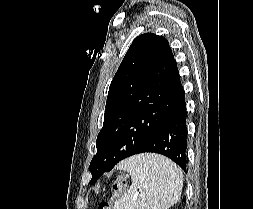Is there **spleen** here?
Masks as SVG:
<instances>
[{
    "label": "spleen",
    "mask_w": 253,
    "mask_h": 209,
    "mask_svg": "<svg viewBox=\"0 0 253 209\" xmlns=\"http://www.w3.org/2000/svg\"><path fill=\"white\" fill-rule=\"evenodd\" d=\"M118 169L130 174L132 185L114 209H169L180 200L183 174L168 158L139 154L122 161Z\"/></svg>",
    "instance_id": "spleen-1"
}]
</instances>
